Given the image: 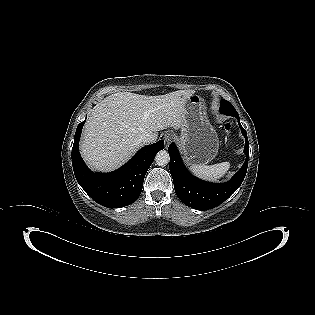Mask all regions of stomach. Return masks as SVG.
I'll return each instance as SVG.
<instances>
[{"label":"stomach","instance_id":"stomach-1","mask_svg":"<svg viewBox=\"0 0 315 315\" xmlns=\"http://www.w3.org/2000/svg\"><path fill=\"white\" fill-rule=\"evenodd\" d=\"M177 142L188 164H206L217 155L219 139L207 118L205 101L199 95L187 99Z\"/></svg>","mask_w":315,"mask_h":315}]
</instances>
